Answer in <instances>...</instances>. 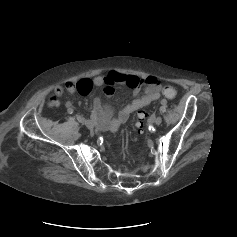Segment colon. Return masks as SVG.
Returning <instances> with one entry per match:
<instances>
[{
	"label": "colon",
	"instance_id": "colon-1",
	"mask_svg": "<svg viewBox=\"0 0 237 237\" xmlns=\"http://www.w3.org/2000/svg\"><path fill=\"white\" fill-rule=\"evenodd\" d=\"M176 89L172 86H169V85H166L164 86L163 88V95L165 97H167L168 99H173L176 97ZM50 104L53 106L56 104V101L55 100H51ZM146 113L145 112H139L137 114V119H136V123H137V126L138 127H141L143 125V122L145 121L146 119Z\"/></svg>",
	"mask_w": 237,
	"mask_h": 237
}]
</instances>
